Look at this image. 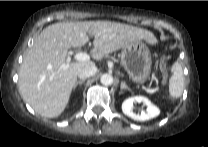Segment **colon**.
Segmentation results:
<instances>
[{
    "mask_svg": "<svg viewBox=\"0 0 208 147\" xmlns=\"http://www.w3.org/2000/svg\"><path fill=\"white\" fill-rule=\"evenodd\" d=\"M160 69H161V71H162L163 73H165V66L161 65V66H160Z\"/></svg>",
    "mask_w": 208,
    "mask_h": 147,
    "instance_id": "obj_1",
    "label": "colon"
}]
</instances>
